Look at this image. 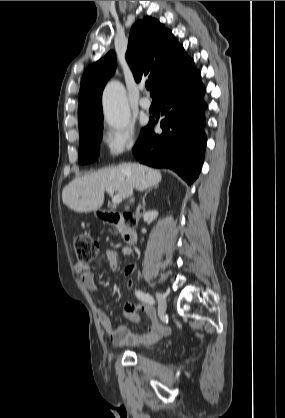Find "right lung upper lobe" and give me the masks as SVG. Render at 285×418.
Wrapping results in <instances>:
<instances>
[{"mask_svg":"<svg viewBox=\"0 0 285 418\" xmlns=\"http://www.w3.org/2000/svg\"><path fill=\"white\" fill-rule=\"evenodd\" d=\"M126 60L136 82L149 80L158 98L168 87L195 70L193 59L172 32L154 18L136 22L130 31ZM117 67L113 51L91 64L83 74L78 96V124L103 117L102 91Z\"/></svg>","mask_w":285,"mask_h":418,"instance_id":"obj_1","label":"right lung upper lobe"}]
</instances>
